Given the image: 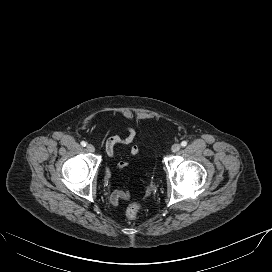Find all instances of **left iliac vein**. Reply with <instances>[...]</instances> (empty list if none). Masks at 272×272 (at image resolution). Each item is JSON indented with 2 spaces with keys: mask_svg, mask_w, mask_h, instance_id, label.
Instances as JSON below:
<instances>
[{
  "mask_svg": "<svg viewBox=\"0 0 272 272\" xmlns=\"http://www.w3.org/2000/svg\"><path fill=\"white\" fill-rule=\"evenodd\" d=\"M181 146L180 144H174L171 148L172 152H178L180 150Z\"/></svg>",
  "mask_w": 272,
  "mask_h": 272,
  "instance_id": "1",
  "label": "left iliac vein"
}]
</instances>
